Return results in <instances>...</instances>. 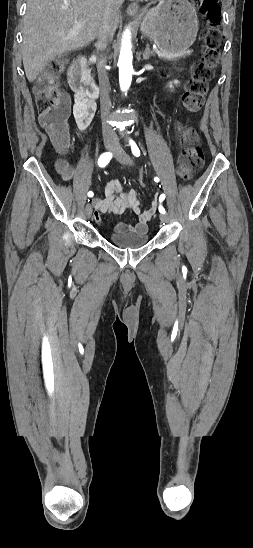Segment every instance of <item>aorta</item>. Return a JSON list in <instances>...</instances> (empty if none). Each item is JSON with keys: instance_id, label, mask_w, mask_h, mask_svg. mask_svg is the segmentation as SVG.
<instances>
[{"instance_id": "obj_1", "label": "aorta", "mask_w": 253, "mask_h": 548, "mask_svg": "<svg viewBox=\"0 0 253 548\" xmlns=\"http://www.w3.org/2000/svg\"><path fill=\"white\" fill-rule=\"evenodd\" d=\"M131 48V32L129 29H126L122 37L121 50L118 60L119 84L122 91L128 90L132 81L133 55Z\"/></svg>"}]
</instances>
